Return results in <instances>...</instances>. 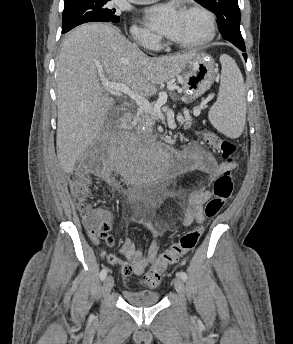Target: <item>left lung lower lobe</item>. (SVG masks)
<instances>
[{
	"mask_svg": "<svg viewBox=\"0 0 293 344\" xmlns=\"http://www.w3.org/2000/svg\"><path fill=\"white\" fill-rule=\"evenodd\" d=\"M237 47H238L240 50H242L243 52L246 51L245 45H240V46H237ZM243 56H244L245 60H247V54H243Z\"/></svg>",
	"mask_w": 293,
	"mask_h": 344,
	"instance_id": "obj_1",
	"label": "left lung lower lobe"
}]
</instances>
